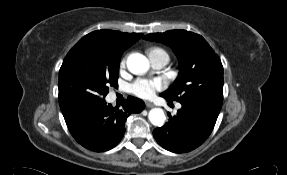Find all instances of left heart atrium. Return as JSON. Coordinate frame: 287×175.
I'll return each mask as SVG.
<instances>
[{
    "mask_svg": "<svg viewBox=\"0 0 287 175\" xmlns=\"http://www.w3.org/2000/svg\"><path fill=\"white\" fill-rule=\"evenodd\" d=\"M163 86V81L159 78H139L131 84L130 91L132 94L146 99L152 97Z\"/></svg>",
    "mask_w": 287,
    "mask_h": 175,
    "instance_id": "left-heart-atrium-1",
    "label": "left heart atrium"
}]
</instances>
